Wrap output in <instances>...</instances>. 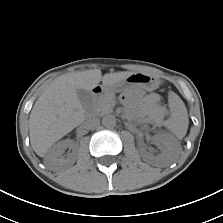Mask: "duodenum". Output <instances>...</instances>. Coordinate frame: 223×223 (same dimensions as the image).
<instances>
[{
    "instance_id": "410a0bca",
    "label": "duodenum",
    "mask_w": 223,
    "mask_h": 223,
    "mask_svg": "<svg viewBox=\"0 0 223 223\" xmlns=\"http://www.w3.org/2000/svg\"><path fill=\"white\" fill-rule=\"evenodd\" d=\"M103 92H104V89H103V87L100 86V85H97V86H95V87L93 88V94H94V96H100V95L103 94Z\"/></svg>"
}]
</instances>
